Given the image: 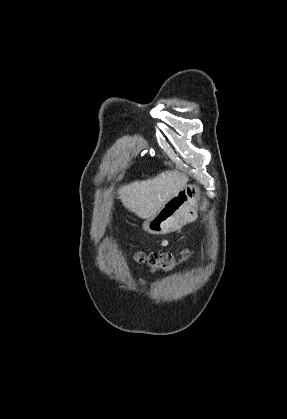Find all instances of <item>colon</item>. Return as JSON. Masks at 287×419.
<instances>
[{
    "mask_svg": "<svg viewBox=\"0 0 287 419\" xmlns=\"http://www.w3.org/2000/svg\"><path fill=\"white\" fill-rule=\"evenodd\" d=\"M136 259L140 263H145L152 267H159L164 270H171L176 264L175 257L168 252H138Z\"/></svg>",
    "mask_w": 287,
    "mask_h": 419,
    "instance_id": "1",
    "label": "colon"
}]
</instances>
